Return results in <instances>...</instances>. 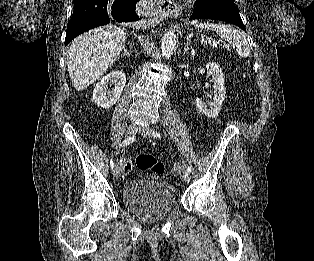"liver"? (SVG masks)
Wrapping results in <instances>:
<instances>
[{
    "label": "liver",
    "instance_id": "obj_1",
    "mask_svg": "<svg viewBox=\"0 0 314 261\" xmlns=\"http://www.w3.org/2000/svg\"><path fill=\"white\" fill-rule=\"evenodd\" d=\"M126 33L106 25L78 36L68 49L67 66L72 84L82 91L95 82L117 60Z\"/></svg>",
    "mask_w": 314,
    "mask_h": 261
}]
</instances>
